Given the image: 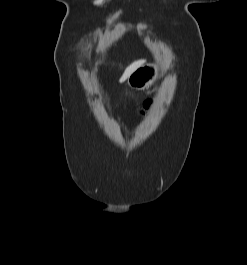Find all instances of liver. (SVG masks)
I'll list each match as a JSON object with an SVG mask.
<instances>
[{
    "label": "liver",
    "instance_id": "obj_1",
    "mask_svg": "<svg viewBox=\"0 0 247 265\" xmlns=\"http://www.w3.org/2000/svg\"><path fill=\"white\" fill-rule=\"evenodd\" d=\"M144 63H145V60H138V61L133 62L131 65H129V66L125 69V71H124L122 77L120 78V82H123V81H125L126 79H128V77H129V76H130V75H131L136 69H138L140 66H142Z\"/></svg>",
    "mask_w": 247,
    "mask_h": 265
}]
</instances>
